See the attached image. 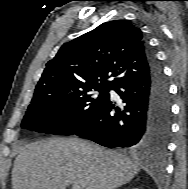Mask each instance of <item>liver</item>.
Masks as SVG:
<instances>
[{
    "label": "liver",
    "instance_id": "6515ba94",
    "mask_svg": "<svg viewBox=\"0 0 188 189\" xmlns=\"http://www.w3.org/2000/svg\"><path fill=\"white\" fill-rule=\"evenodd\" d=\"M139 172L118 152L78 138H50L24 146L14 161L12 189H115Z\"/></svg>",
    "mask_w": 188,
    "mask_h": 189
}]
</instances>
